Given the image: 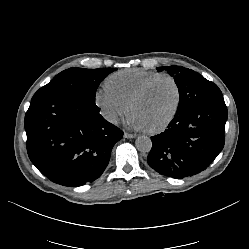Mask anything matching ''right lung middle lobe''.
<instances>
[{"label":"right lung middle lobe","mask_w":249,"mask_h":249,"mask_svg":"<svg viewBox=\"0 0 249 249\" xmlns=\"http://www.w3.org/2000/svg\"><path fill=\"white\" fill-rule=\"evenodd\" d=\"M117 68L84 69L69 68L59 73L47 85L41 87L31 101L40 98L70 95L95 104L100 81Z\"/></svg>","instance_id":"1"}]
</instances>
